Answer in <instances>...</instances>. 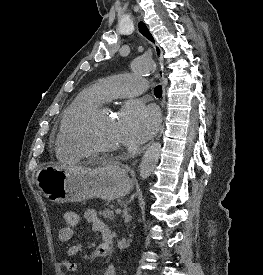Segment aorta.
<instances>
[{
  "mask_svg": "<svg viewBox=\"0 0 263 275\" xmlns=\"http://www.w3.org/2000/svg\"><path fill=\"white\" fill-rule=\"evenodd\" d=\"M132 69L139 74L153 73L156 69L155 63L150 59L138 58L132 62ZM161 155V144L153 142L143 155L140 169V178L147 179L154 171Z\"/></svg>",
  "mask_w": 263,
  "mask_h": 275,
  "instance_id": "obj_1",
  "label": "aorta"
}]
</instances>
